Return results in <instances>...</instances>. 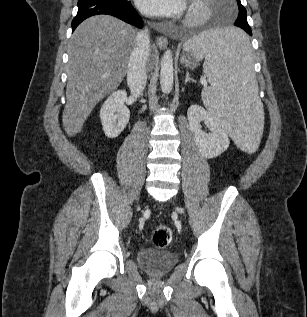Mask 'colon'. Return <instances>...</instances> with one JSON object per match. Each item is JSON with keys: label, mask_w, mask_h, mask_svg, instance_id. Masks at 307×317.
Segmentation results:
<instances>
[{"label": "colon", "mask_w": 307, "mask_h": 317, "mask_svg": "<svg viewBox=\"0 0 307 317\" xmlns=\"http://www.w3.org/2000/svg\"><path fill=\"white\" fill-rule=\"evenodd\" d=\"M172 231L168 226H158L152 234V243L158 249L166 248L172 242Z\"/></svg>", "instance_id": "5ec220e1"}]
</instances>
